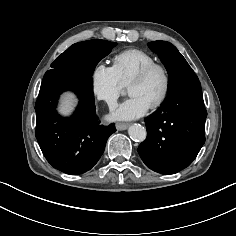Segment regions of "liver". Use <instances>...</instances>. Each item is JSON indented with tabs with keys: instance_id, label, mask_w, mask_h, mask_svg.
<instances>
[{
	"instance_id": "6515ba94",
	"label": "liver",
	"mask_w": 236,
	"mask_h": 236,
	"mask_svg": "<svg viewBox=\"0 0 236 236\" xmlns=\"http://www.w3.org/2000/svg\"><path fill=\"white\" fill-rule=\"evenodd\" d=\"M75 102H76V99L72 94L65 95L61 102L60 111L63 114H68L70 110H72Z\"/></svg>"
}]
</instances>
